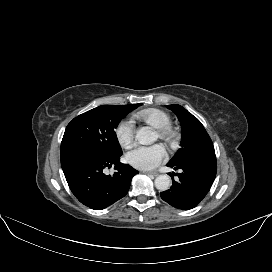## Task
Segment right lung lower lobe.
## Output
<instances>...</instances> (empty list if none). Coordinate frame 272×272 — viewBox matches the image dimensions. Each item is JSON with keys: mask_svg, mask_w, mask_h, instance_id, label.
Listing matches in <instances>:
<instances>
[{"mask_svg": "<svg viewBox=\"0 0 272 272\" xmlns=\"http://www.w3.org/2000/svg\"><path fill=\"white\" fill-rule=\"evenodd\" d=\"M121 155H105L86 145L61 146L60 158L65 178L81 203L94 210H102L127 194L132 177L138 171L120 163ZM112 165L116 172L113 176L106 175L104 169Z\"/></svg>", "mask_w": 272, "mask_h": 272, "instance_id": "right-lung-lower-lobe-1", "label": "right lung lower lobe"}]
</instances>
